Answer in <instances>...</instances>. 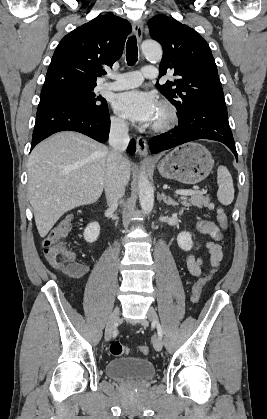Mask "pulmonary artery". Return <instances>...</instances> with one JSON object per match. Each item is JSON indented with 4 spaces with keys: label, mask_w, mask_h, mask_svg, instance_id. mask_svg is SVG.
Returning <instances> with one entry per match:
<instances>
[{
    "label": "pulmonary artery",
    "mask_w": 267,
    "mask_h": 419,
    "mask_svg": "<svg viewBox=\"0 0 267 419\" xmlns=\"http://www.w3.org/2000/svg\"><path fill=\"white\" fill-rule=\"evenodd\" d=\"M158 76L157 68L145 66L141 71H131L121 74H111L112 82L104 83L103 87L109 90H124L141 84L144 78L154 79Z\"/></svg>",
    "instance_id": "pulmonary-artery-1"
}]
</instances>
